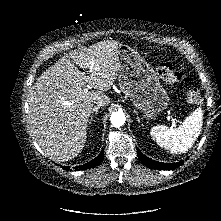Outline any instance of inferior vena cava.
<instances>
[{
	"label": "inferior vena cava",
	"mask_w": 221,
	"mask_h": 221,
	"mask_svg": "<svg viewBox=\"0 0 221 221\" xmlns=\"http://www.w3.org/2000/svg\"><path fill=\"white\" fill-rule=\"evenodd\" d=\"M109 102H110V99L105 94L96 96L95 99H94V103L99 105V106H106V105L109 104Z\"/></svg>",
	"instance_id": "602c4592"
}]
</instances>
